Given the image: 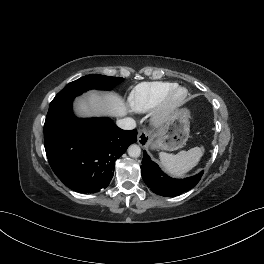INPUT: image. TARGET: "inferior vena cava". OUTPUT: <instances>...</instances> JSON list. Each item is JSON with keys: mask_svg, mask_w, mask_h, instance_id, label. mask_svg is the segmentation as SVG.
<instances>
[{"mask_svg": "<svg viewBox=\"0 0 264 264\" xmlns=\"http://www.w3.org/2000/svg\"><path fill=\"white\" fill-rule=\"evenodd\" d=\"M117 126L124 130H132L136 128V122L133 118H124L116 122Z\"/></svg>", "mask_w": 264, "mask_h": 264, "instance_id": "1", "label": "inferior vena cava"}]
</instances>
